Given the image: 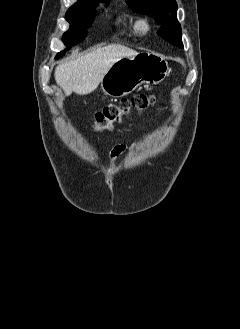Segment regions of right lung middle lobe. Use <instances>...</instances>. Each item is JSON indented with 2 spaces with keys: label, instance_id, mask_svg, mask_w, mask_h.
Masks as SVG:
<instances>
[{
  "label": "right lung middle lobe",
  "instance_id": "dd1d6c3e",
  "mask_svg": "<svg viewBox=\"0 0 240 329\" xmlns=\"http://www.w3.org/2000/svg\"><path fill=\"white\" fill-rule=\"evenodd\" d=\"M108 2V1H106ZM98 3L88 8L69 9L66 13V20L70 23L69 30L64 33L63 42L70 47L86 36V28H88L95 18L94 9ZM65 51L57 54L56 59L62 57Z\"/></svg>",
  "mask_w": 240,
  "mask_h": 329
}]
</instances>
